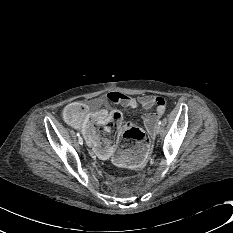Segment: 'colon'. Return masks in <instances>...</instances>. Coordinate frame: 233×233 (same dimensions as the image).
Masks as SVG:
<instances>
[{
    "label": "colon",
    "instance_id": "obj_1",
    "mask_svg": "<svg viewBox=\"0 0 233 233\" xmlns=\"http://www.w3.org/2000/svg\"><path fill=\"white\" fill-rule=\"evenodd\" d=\"M85 113V107L81 103H72L66 110V120L69 124L79 123L83 114ZM108 116L102 118L103 121H106ZM121 132L120 138V148L126 149L135 146L137 143H145L148 141V138L145 132L136 126L131 124H121L119 128Z\"/></svg>",
    "mask_w": 233,
    "mask_h": 233
}]
</instances>
